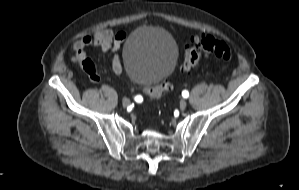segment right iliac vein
Returning a JSON list of instances; mask_svg holds the SVG:
<instances>
[{"mask_svg":"<svg viewBox=\"0 0 299 190\" xmlns=\"http://www.w3.org/2000/svg\"><path fill=\"white\" fill-rule=\"evenodd\" d=\"M130 104V100L128 98H124L122 100L123 107H127Z\"/></svg>","mask_w":299,"mask_h":190,"instance_id":"obj_1","label":"right iliac vein"}]
</instances>
